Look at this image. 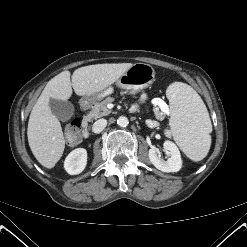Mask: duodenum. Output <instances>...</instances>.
Listing matches in <instances>:
<instances>
[{
    "label": "duodenum",
    "instance_id": "1",
    "mask_svg": "<svg viewBox=\"0 0 247 247\" xmlns=\"http://www.w3.org/2000/svg\"><path fill=\"white\" fill-rule=\"evenodd\" d=\"M82 106L86 107L87 106V102L83 101L82 102ZM82 137L87 138L89 136V132L87 129V121H82Z\"/></svg>",
    "mask_w": 247,
    "mask_h": 247
}]
</instances>
